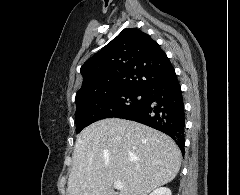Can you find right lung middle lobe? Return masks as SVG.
Listing matches in <instances>:
<instances>
[{"instance_id": "obj_1", "label": "right lung middle lobe", "mask_w": 240, "mask_h": 195, "mask_svg": "<svg viewBox=\"0 0 240 195\" xmlns=\"http://www.w3.org/2000/svg\"><path fill=\"white\" fill-rule=\"evenodd\" d=\"M145 97V91L138 89H123L109 95L84 98L75 101L76 132L101 119L117 117L138 106Z\"/></svg>"}]
</instances>
